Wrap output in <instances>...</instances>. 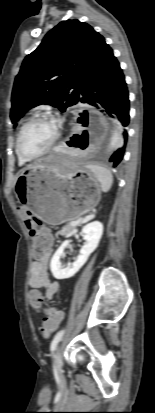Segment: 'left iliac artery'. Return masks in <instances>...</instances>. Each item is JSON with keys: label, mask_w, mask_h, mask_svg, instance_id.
Listing matches in <instances>:
<instances>
[{"label": "left iliac artery", "mask_w": 155, "mask_h": 413, "mask_svg": "<svg viewBox=\"0 0 155 413\" xmlns=\"http://www.w3.org/2000/svg\"><path fill=\"white\" fill-rule=\"evenodd\" d=\"M65 332V329L60 330L54 337L53 341L51 342L50 350L53 352L56 349V346L60 339L62 338L63 334Z\"/></svg>", "instance_id": "obj_1"}]
</instances>
